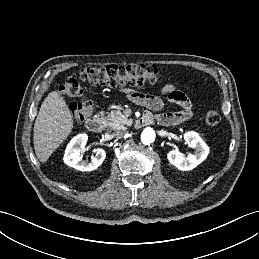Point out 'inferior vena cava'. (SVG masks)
<instances>
[{"instance_id":"1","label":"inferior vena cava","mask_w":259,"mask_h":259,"mask_svg":"<svg viewBox=\"0 0 259 259\" xmlns=\"http://www.w3.org/2000/svg\"><path fill=\"white\" fill-rule=\"evenodd\" d=\"M127 131L126 130H124V129H120V130H116L115 132H114V136L116 137V138H118V139H121V138H123V137H125L126 135H127Z\"/></svg>"}]
</instances>
